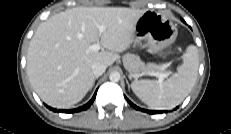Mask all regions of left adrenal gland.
<instances>
[{
    "label": "left adrenal gland",
    "instance_id": "1",
    "mask_svg": "<svg viewBox=\"0 0 231 134\" xmlns=\"http://www.w3.org/2000/svg\"><path fill=\"white\" fill-rule=\"evenodd\" d=\"M127 85H128V89H130V84H129V82L127 81Z\"/></svg>",
    "mask_w": 231,
    "mask_h": 134
}]
</instances>
